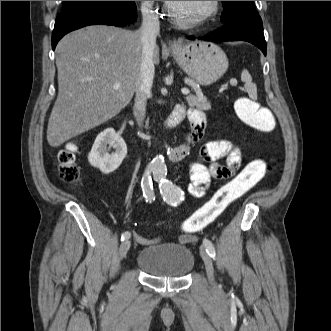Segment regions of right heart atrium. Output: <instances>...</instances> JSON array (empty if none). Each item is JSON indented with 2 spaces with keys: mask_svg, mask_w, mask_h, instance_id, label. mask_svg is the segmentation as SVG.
<instances>
[{
  "mask_svg": "<svg viewBox=\"0 0 331 331\" xmlns=\"http://www.w3.org/2000/svg\"><path fill=\"white\" fill-rule=\"evenodd\" d=\"M140 9L143 16H157L158 11L155 9V1H141Z\"/></svg>",
  "mask_w": 331,
  "mask_h": 331,
  "instance_id": "obj_1",
  "label": "right heart atrium"
}]
</instances>
